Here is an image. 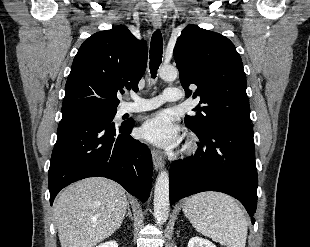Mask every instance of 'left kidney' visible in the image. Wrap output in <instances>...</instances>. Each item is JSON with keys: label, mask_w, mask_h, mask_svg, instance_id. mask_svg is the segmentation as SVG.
Segmentation results:
<instances>
[{"label": "left kidney", "mask_w": 310, "mask_h": 247, "mask_svg": "<svg viewBox=\"0 0 310 247\" xmlns=\"http://www.w3.org/2000/svg\"><path fill=\"white\" fill-rule=\"evenodd\" d=\"M188 247H216V246L209 240L200 237H193L189 240Z\"/></svg>", "instance_id": "1"}]
</instances>
